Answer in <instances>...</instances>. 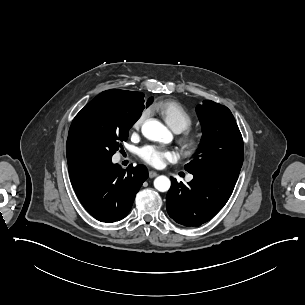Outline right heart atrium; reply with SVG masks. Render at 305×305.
<instances>
[{
    "mask_svg": "<svg viewBox=\"0 0 305 305\" xmlns=\"http://www.w3.org/2000/svg\"><path fill=\"white\" fill-rule=\"evenodd\" d=\"M147 115V111H143L139 114V116L133 121L132 126H131V130L132 131H136L141 127V124L144 120V118Z\"/></svg>",
    "mask_w": 305,
    "mask_h": 305,
    "instance_id": "1",
    "label": "right heart atrium"
}]
</instances>
